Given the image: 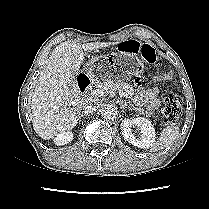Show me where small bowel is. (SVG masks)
Here are the masks:
<instances>
[{"mask_svg": "<svg viewBox=\"0 0 209 209\" xmlns=\"http://www.w3.org/2000/svg\"><path fill=\"white\" fill-rule=\"evenodd\" d=\"M133 85L137 89H142L146 85V80L142 76H137L133 80ZM137 103L153 111L159 105V90L157 87L142 89L137 96Z\"/></svg>", "mask_w": 209, "mask_h": 209, "instance_id": "obj_1", "label": "small bowel"}]
</instances>
